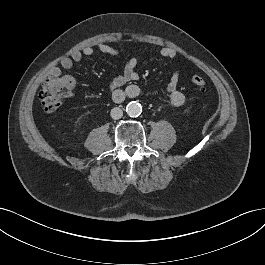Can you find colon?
<instances>
[{"mask_svg": "<svg viewBox=\"0 0 265 265\" xmlns=\"http://www.w3.org/2000/svg\"><path fill=\"white\" fill-rule=\"evenodd\" d=\"M191 82L201 90L205 89L206 81L199 75L191 77ZM75 86V81L68 75H50L42 86L39 94L41 105L45 112L53 113L57 111L63 101L70 97Z\"/></svg>", "mask_w": 265, "mask_h": 265, "instance_id": "1", "label": "colon"}]
</instances>
